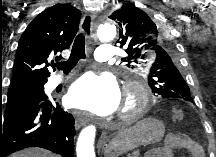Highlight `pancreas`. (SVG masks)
<instances>
[{
    "label": "pancreas",
    "instance_id": "pancreas-1",
    "mask_svg": "<svg viewBox=\"0 0 216 157\" xmlns=\"http://www.w3.org/2000/svg\"><path fill=\"white\" fill-rule=\"evenodd\" d=\"M131 157H138V153H134Z\"/></svg>",
    "mask_w": 216,
    "mask_h": 157
}]
</instances>
